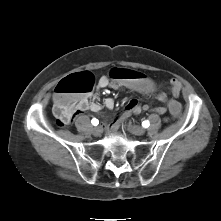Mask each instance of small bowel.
Returning <instances> with one entry per match:
<instances>
[{"mask_svg": "<svg viewBox=\"0 0 221 221\" xmlns=\"http://www.w3.org/2000/svg\"><path fill=\"white\" fill-rule=\"evenodd\" d=\"M170 85H171V94H172V97L170 99L168 98V95L165 94L164 91L160 90L156 92V95H155L156 99L159 100L160 103H163V104L166 103L165 106H161L155 109L157 113L163 114L167 110L170 112V110L168 109V102L171 99H177L180 95V92H181L180 82L176 79H172L170 81ZM107 87H111L114 89H119L120 87L128 88L127 86L119 82L109 81L106 76H101L97 81V88L104 89ZM92 99H93L92 92H88L80 96L75 103V114H82L86 112H94V113L100 112L101 110L100 104H98L97 102H94ZM104 106L107 109H112L114 107V100L112 98L106 99L104 102ZM143 109L148 110L149 106L148 105L141 106L136 99L129 100L124 110L110 124V129L112 131L116 130L120 123L124 122L132 114L140 113L141 110Z\"/></svg>", "mask_w": 221, "mask_h": 221, "instance_id": "obj_1", "label": "small bowel"}]
</instances>
